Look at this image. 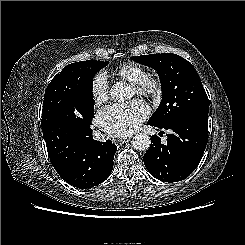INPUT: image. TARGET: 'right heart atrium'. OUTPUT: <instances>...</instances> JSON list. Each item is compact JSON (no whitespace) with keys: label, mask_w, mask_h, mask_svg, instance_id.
<instances>
[{"label":"right heart atrium","mask_w":245,"mask_h":245,"mask_svg":"<svg viewBox=\"0 0 245 245\" xmlns=\"http://www.w3.org/2000/svg\"><path fill=\"white\" fill-rule=\"evenodd\" d=\"M91 95L96 106L104 104L109 99L110 86L104 72L96 73L91 80Z\"/></svg>","instance_id":"1"}]
</instances>
